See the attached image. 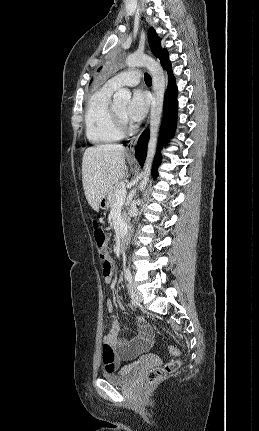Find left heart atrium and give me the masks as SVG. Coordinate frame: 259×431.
Instances as JSON below:
<instances>
[{
    "mask_svg": "<svg viewBox=\"0 0 259 431\" xmlns=\"http://www.w3.org/2000/svg\"><path fill=\"white\" fill-rule=\"evenodd\" d=\"M148 105L147 95L141 90H135L125 110V119L130 122L141 121L147 113Z\"/></svg>",
    "mask_w": 259,
    "mask_h": 431,
    "instance_id": "obj_1",
    "label": "left heart atrium"
}]
</instances>
